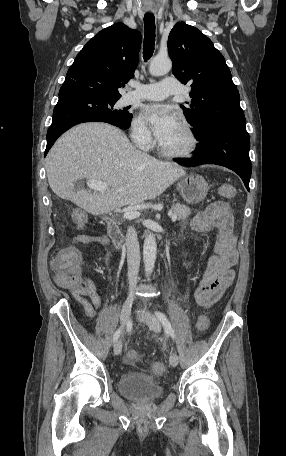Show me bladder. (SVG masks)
Segmentation results:
<instances>
[{"label": "bladder", "instance_id": "31cf9c89", "mask_svg": "<svg viewBox=\"0 0 286 456\" xmlns=\"http://www.w3.org/2000/svg\"><path fill=\"white\" fill-rule=\"evenodd\" d=\"M119 393L138 403L156 401L163 394L162 385L144 373H125L119 379Z\"/></svg>", "mask_w": 286, "mask_h": 456}]
</instances>
